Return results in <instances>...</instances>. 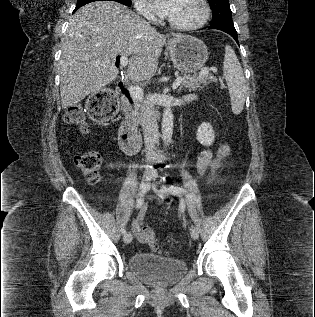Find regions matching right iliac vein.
<instances>
[{"label":"right iliac vein","mask_w":315,"mask_h":317,"mask_svg":"<svg viewBox=\"0 0 315 317\" xmlns=\"http://www.w3.org/2000/svg\"><path fill=\"white\" fill-rule=\"evenodd\" d=\"M151 175L149 174H146L144 175V178L141 182V191L142 193H146L149 189H150V186H151ZM123 241L125 244H129L131 243L132 241V234L129 232L127 234L124 235V238H123Z\"/></svg>","instance_id":"obj_1"}]
</instances>
